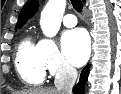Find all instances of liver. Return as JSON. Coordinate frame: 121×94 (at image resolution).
Wrapping results in <instances>:
<instances>
[{
	"mask_svg": "<svg viewBox=\"0 0 121 94\" xmlns=\"http://www.w3.org/2000/svg\"><path fill=\"white\" fill-rule=\"evenodd\" d=\"M18 94H59V93L54 88H34L21 91Z\"/></svg>",
	"mask_w": 121,
	"mask_h": 94,
	"instance_id": "6515ba94",
	"label": "liver"
}]
</instances>
